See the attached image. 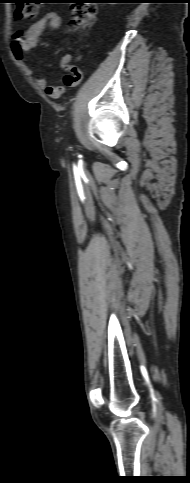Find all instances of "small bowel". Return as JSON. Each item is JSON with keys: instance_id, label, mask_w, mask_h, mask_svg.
I'll use <instances>...</instances> for the list:
<instances>
[{"instance_id": "1", "label": "small bowel", "mask_w": 190, "mask_h": 483, "mask_svg": "<svg viewBox=\"0 0 190 483\" xmlns=\"http://www.w3.org/2000/svg\"><path fill=\"white\" fill-rule=\"evenodd\" d=\"M61 26V17L55 12H47L27 30L16 31L12 35L10 41V50L13 57L18 62L23 63L30 51L36 48L39 37L47 28H50L51 30H59ZM69 60V56H64L62 59V66L73 76L74 82L72 85H76L81 80L82 72L79 68L69 65ZM34 81L39 88L45 89L47 94L53 98L59 97L62 92L60 86L49 85L47 78L43 75L35 74Z\"/></svg>"}]
</instances>
